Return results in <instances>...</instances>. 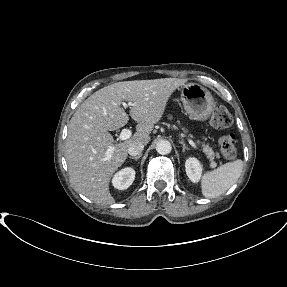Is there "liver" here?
I'll return each mask as SVG.
<instances>
[{
  "instance_id": "6515ba94",
  "label": "liver",
  "mask_w": 287,
  "mask_h": 287,
  "mask_svg": "<svg viewBox=\"0 0 287 287\" xmlns=\"http://www.w3.org/2000/svg\"><path fill=\"white\" fill-rule=\"evenodd\" d=\"M186 82L178 78L117 82L89 96L68 124L65 158L74 189L98 205L113 204L109 183L125 162L129 145L150 141L153 126L164 114L169 98ZM124 100L132 103L130 116L138 124L130 139L115 144L108 131L128 123L129 115L121 107ZM111 147L113 152L108 156Z\"/></svg>"
}]
</instances>
